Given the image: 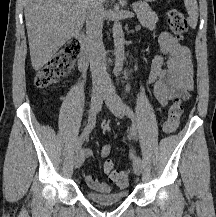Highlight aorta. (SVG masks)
<instances>
[{"label":"aorta","instance_id":"aorta-1","mask_svg":"<svg viewBox=\"0 0 216 217\" xmlns=\"http://www.w3.org/2000/svg\"><path fill=\"white\" fill-rule=\"evenodd\" d=\"M113 41L115 47V66L114 73L119 74L123 68L124 56H125V39L122 26L118 20L113 24Z\"/></svg>","mask_w":216,"mask_h":217}]
</instances>
